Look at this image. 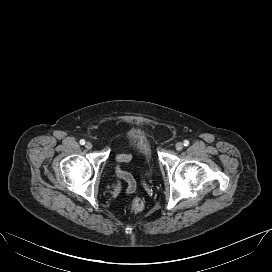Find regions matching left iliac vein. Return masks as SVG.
Segmentation results:
<instances>
[{
    "mask_svg": "<svg viewBox=\"0 0 272 272\" xmlns=\"http://www.w3.org/2000/svg\"><path fill=\"white\" fill-rule=\"evenodd\" d=\"M176 150L180 151L183 149V143L181 142H177L175 145Z\"/></svg>",
    "mask_w": 272,
    "mask_h": 272,
    "instance_id": "1",
    "label": "left iliac vein"
}]
</instances>
